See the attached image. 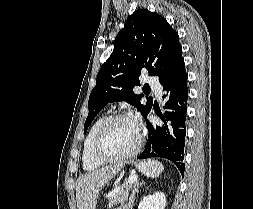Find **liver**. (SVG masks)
Returning a JSON list of instances; mask_svg holds the SVG:
<instances>
[{
  "mask_svg": "<svg viewBox=\"0 0 253 209\" xmlns=\"http://www.w3.org/2000/svg\"><path fill=\"white\" fill-rule=\"evenodd\" d=\"M121 165L106 166L79 177L76 187L78 209H95L100 189L121 169Z\"/></svg>",
  "mask_w": 253,
  "mask_h": 209,
  "instance_id": "liver-1",
  "label": "liver"
}]
</instances>
